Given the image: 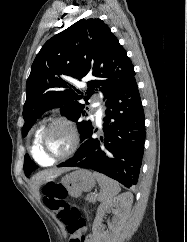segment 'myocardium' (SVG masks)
Listing matches in <instances>:
<instances>
[{
	"instance_id": "1",
	"label": "myocardium",
	"mask_w": 187,
	"mask_h": 242,
	"mask_svg": "<svg viewBox=\"0 0 187 242\" xmlns=\"http://www.w3.org/2000/svg\"><path fill=\"white\" fill-rule=\"evenodd\" d=\"M57 125H61L66 127L71 135V145L69 147V149L61 154V155H49L44 148V139L46 137V135L48 134V132ZM80 144V136H79V131L77 129V126L75 125V123L66 118V117H57L52 119L42 130L40 136H39V140H38V146L40 149V152L42 153V155L46 158H48L50 161L54 162V161H58V160H63L66 159L70 156H72L76 150L78 149Z\"/></svg>"
}]
</instances>
